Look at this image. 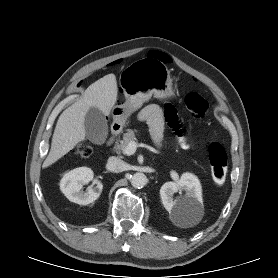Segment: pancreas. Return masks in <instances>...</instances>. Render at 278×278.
I'll list each match as a JSON object with an SVG mask.
<instances>
[{"mask_svg":"<svg viewBox=\"0 0 278 278\" xmlns=\"http://www.w3.org/2000/svg\"><path fill=\"white\" fill-rule=\"evenodd\" d=\"M136 133L137 130L128 129L126 133L123 135V140L120 141V144L116 146V149L124 153L125 147L131 141H136Z\"/></svg>","mask_w":278,"mask_h":278,"instance_id":"1","label":"pancreas"}]
</instances>
